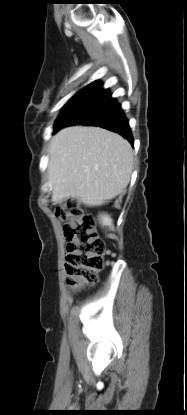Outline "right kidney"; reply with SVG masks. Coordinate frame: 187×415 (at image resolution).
<instances>
[{
  "instance_id": "right-kidney-1",
  "label": "right kidney",
  "mask_w": 187,
  "mask_h": 415,
  "mask_svg": "<svg viewBox=\"0 0 187 415\" xmlns=\"http://www.w3.org/2000/svg\"><path fill=\"white\" fill-rule=\"evenodd\" d=\"M100 219L103 225H109L111 223V220L106 215L100 216Z\"/></svg>"
}]
</instances>
